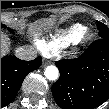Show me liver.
I'll return each mask as SVG.
<instances>
[{"label":"liver","instance_id":"6515ba94","mask_svg":"<svg viewBox=\"0 0 109 109\" xmlns=\"http://www.w3.org/2000/svg\"><path fill=\"white\" fill-rule=\"evenodd\" d=\"M54 23V20L49 18V19H39L33 23L30 24L29 26V31L32 34L39 33L48 27H51ZM10 48V42L7 36L2 33L1 35V55L4 56L9 52Z\"/></svg>","mask_w":109,"mask_h":109}]
</instances>
